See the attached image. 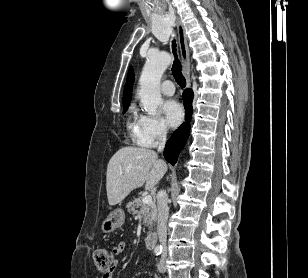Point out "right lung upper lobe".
<instances>
[{"instance_id":"cb5924a9","label":"right lung upper lobe","mask_w":308,"mask_h":278,"mask_svg":"<svg viewBox=\"0 0 308 278\" xmlns=\"http://www.w3.org/2000/svg\"><path fill=\"white\" fill-rule=\"evenodd\" d=\"M133 79H134V73H133L132 67H130V69L128 71L127 82H126L125 88H124L123 102H130V99L132 97Z\"/></svg>"}]
</instances>
